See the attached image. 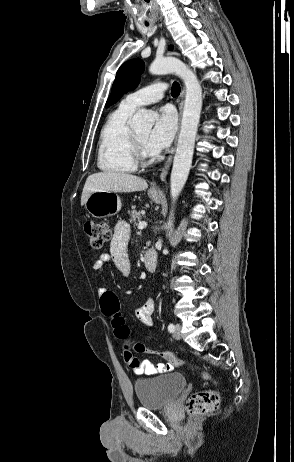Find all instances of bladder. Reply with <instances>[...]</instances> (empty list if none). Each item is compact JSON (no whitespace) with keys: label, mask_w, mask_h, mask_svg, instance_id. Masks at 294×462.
Instances as JSON below:
<instances>
[{"label":"bladder","mask_w":294,"mask_h":462,"mask_svg":"<svg viewBox=\"0 0 294 462\" xmlns=\"http://www.w3.org/2000/svg\"><path fill=\"white\" fill-rule=\"evenodd\" d=\"M186 386V378L173 372L138 379L134 382L138 401L142 407L147 409H160L171 405Z\"/></svg>","instance_id":"1"}]
</instances>
